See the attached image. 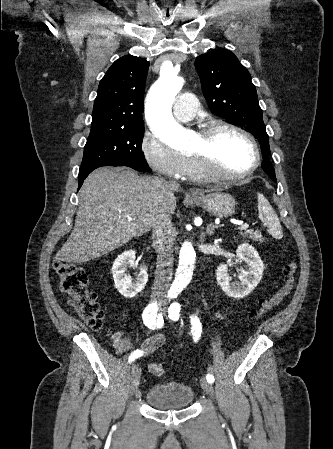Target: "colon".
Masks as SVG:
<instances>
[{
    "label": "colon",
    "instance_id": "obj_1",
    "mask_svg": "<svg viewBox=\"0 0 333 449\" xmlns=\"http://www.w3.org/2000/svg\"><path fill=\"white\" fill-rule=\"evenodd\" d=\"M53 268L57 275L59 289L69 296V302L77 314L92 330L101 329L105 311L99 304L96 294L89 290L86 273L74 264L60 260L54 262ZM296 269L294 260L284 265L283 285L272 297L259 301V308L250 313L248 323L264 318L287 298L294 284ZM149 371L154 375H161L163 366L160 363H152Z\"/></svg>",
    "mask_w": 333,
    "mask_h": 449
}]
</instances>
